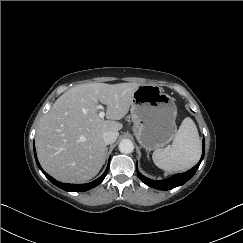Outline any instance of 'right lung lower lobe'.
<instances>
[{
    "label": "right lung lower lobe",
    "instance_id": "1",
    "mask_svg": "<svg viewBox=\"0 0 243 243\" xmlns=\"http://www.w3.org/2000/svg\"><path fill=\"white\" fill-rule=\"evenodd\" d=\"M34 155H35V159H36L38 167L44 173V175L49 179V181H51L54 185H56L57 187L65 190V191L84 192V191H87L89 189H92V188L96 187L97 185H99L104 180V178L106 177V174L108 172V169H109V163H108V166H107L105 172L103 173V175L93 182H90V183H87V184H79V185H77V184H66V183L58 182L57 180L52 178L50 175H48L45 171H43V169L41 168V166H40V164L37 160L35 149H34Z\"/></svg>",
    "mask_w": 243,
    "mask_h": 243
}]
</instances>
